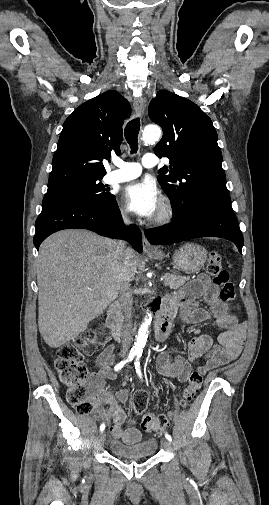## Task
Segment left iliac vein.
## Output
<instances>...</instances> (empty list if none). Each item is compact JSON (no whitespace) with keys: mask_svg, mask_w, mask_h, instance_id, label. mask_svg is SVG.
<instances>
[{"mask_svg":"<svg viewBox=\"0 0 269 505\" xmlns=\"http://www.w3.org/2000/svg\"><path fill=\"white\" fill-rule=\"evenodd\" d=\"M161 443L165 449L169 450L171 448V443L167 439H162Z\"/></svg>","mask_w":269,"mask_h":505,"instance_id":"obj_1","label":"left iliac vein"}]
</instances>
